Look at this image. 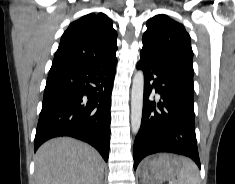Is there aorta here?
<instances>
[{
	"instance_id": "aorta-1",
	"label": "aorta",
	"mask_w": 235,
	"mask_h": 184,
	"mask_svg": "<svg viewBox=\"0 0 235 184\" xmlns=\"http://www.w3.org/2000/svg\"><path fill=\"white\" fill-rule=\"evenodd\" d=\"M144 74L137 72L133 78L131 94V126L133 134H138L142 120Z\"/></svg>"
}]
</instances>
